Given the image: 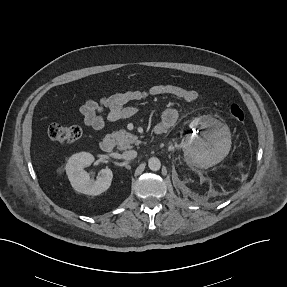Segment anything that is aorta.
Returning a JSON list of instances; mask_svg holds the SVG:
<instances>
[{"label":"aorta","instance_id":"1","mask_svg":"<svg viewBox=\"0 0 287 287\" xmlns=\"http://www.w3.org/2000/svg\"><path fill=\"white\" fill-rule=\"evenodd\" d=\"M148 167L152 171H158L161 167V162L158 158L152 157L148 160Z\"/></svg>","mask_w":287,"mask_h":287}]
</instances>
